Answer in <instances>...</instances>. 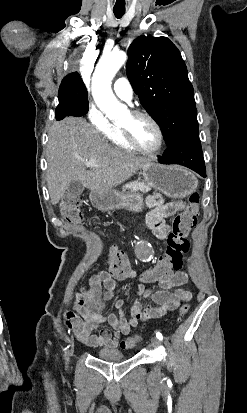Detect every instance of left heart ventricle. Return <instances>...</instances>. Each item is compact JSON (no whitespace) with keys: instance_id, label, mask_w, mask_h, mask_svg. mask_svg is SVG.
Wrapping results in <instances>:
<instances>
[{"instance_id":"left-heart-ventricle-1","label":"left heart ventricle","mask_w":247,"mask_h":413,"mask_svg":"<svg viewBox=\"0 0 247 413\" xmlns=\"http://www.w3.org/2000/svg\"><path fill=\"white\" fill-rule=\"evenodd\" d=\"M132 121L129 115L126 119V124ZM133 134L137 141L145 148L152 149L159 144V133L148 120L145 118H139L133 120V125L131 126Z\"/></svg>"}]
</instances>
